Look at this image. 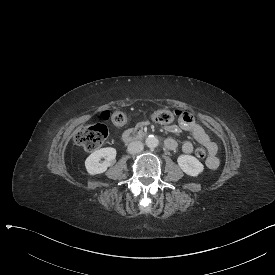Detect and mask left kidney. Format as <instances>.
<instances>
[{"label":"left kidney","instance_id":"1","mask_svg":"<svg viewBox=\"0 0 275 275\" xmlns=\"http://www.w3.org/2000/svg\"><path fill=\"white\" fill-rule=\"evenodd\" d=\"M177 162L183 172L190 176H197L204 169L203 164L191 155H180Z\"/></svg>","mask_w":275,"mask_h":275}]
</instances>
